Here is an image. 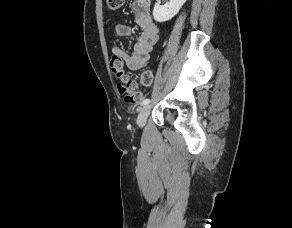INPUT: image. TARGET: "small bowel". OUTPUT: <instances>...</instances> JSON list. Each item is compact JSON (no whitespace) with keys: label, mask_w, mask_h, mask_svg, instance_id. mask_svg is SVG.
Returning <instances> with one entry per match:
<instances>
[{"label":"small bowel","mask_w":292,"mask_h":228,"mask_svg":"<svg viewBox=\"0 0 292 228\" xmlns=\"http://www.w3.org/2000/svg\"><path fill=\"white\" fill-rule=\"evenodd\" d=\"M132 11L135 23L141 29L137 42L131 53L119 46L112 49V59L119 60L123 68L125 66L132 72L140 70L147 63L150 53L159 38V30L151 16L150 0H134ZM117 37H130L132 28L127 24H117L114 28Z\"/></svg>","instance_id":"small-bowel-1"}]
</instances>
